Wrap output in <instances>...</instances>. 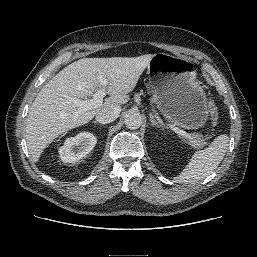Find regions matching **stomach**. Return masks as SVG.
Instances as JSON below:
<instances>
[{"mask_svg":"<svg viewBox=\"0 0 257 257\" xmlns=\"http://www.w3.org/2000/svg\"><path fill=\"white\" fill-rule=\"evenodd\" d=\"M147 67L151 91L162 114L185 129L203 127L209 119V109L206 94L196 80L194 62L157 53Z\"/></svg>","mask_w":257,"mask_h":257,"instance_id":"obj_1","label":"stomach"}]
</instances>
